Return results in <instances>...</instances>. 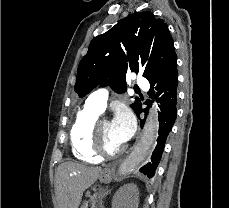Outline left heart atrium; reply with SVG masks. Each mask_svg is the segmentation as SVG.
<instances>
[{
  "label": "left heart atrium",
  "instance_id": "obj_1",
  "mask_svg": "<svg viewBox=\"0 0 229 208\" xmlns=\"http://www.w3.org/2000/svg\"><path fill=\"white\" fill-rule=\"evenodd\" d=\"M111 125L114 136L124 143L134 134L135 118L127 107L122 106L116 110Z\"/></svg>",
  "mask_w": 229,
  "mask_h": 208
}]
</instances>
